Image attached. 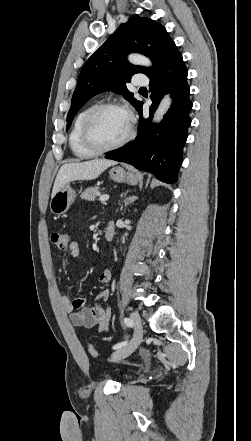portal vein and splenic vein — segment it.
<instances>
[{
    "mask_svg": "<svg viewBox=\"0 0 251 441\" xmlns=\"http://www.w3.org/2000/svg\"><path fill=\"white\" fill-rule=\"evenodd\" d=\"M109 199V196L108 195H101L100 197H99V200L101 201V202H105V201H107Z\"/></svg>",
    "mask_w": 251,
    "mask_h": 441,
    "instance_id": "1",
    "label": "portal vein and splenic vein"
}]
</instances>
